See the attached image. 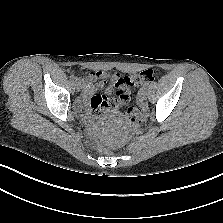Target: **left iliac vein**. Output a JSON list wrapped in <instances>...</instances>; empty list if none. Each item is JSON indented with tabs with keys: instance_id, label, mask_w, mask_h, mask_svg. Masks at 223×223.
<instances>
[{
	"instance_id": "left-iliac-vein-1",
	"label": "left iliac vein",
	"mask_w": 223,
	"mask_h": 223,
	"mask_svg": "<svg viewBox=\"0 0 223 223\" xmlns=\"http://www.w3.org/2000/svg\"><path fill=\"white\" fill-rule=\"evenodd\" d=\"M146 95H147V94H146V91L143 90V92H142L140 98H141L142 100H145V99H146Z\"/></svg>"
}]
</instances>
